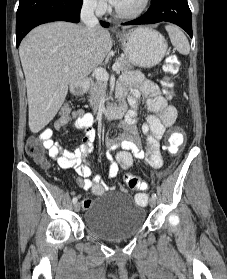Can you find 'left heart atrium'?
<instances>
[{
	"mask_svg": "<svg viewBox=\"0 0 227 279\" xmlns=\"http://www.w3.org/2000/svg\"><path fill=\"white\" fill-rule=\"evenodd\" d=\"M111 4L116 5L119 0H108Z\"/></svg>",
	"mask_w": 227,
	"mask_h": 279,
	"instance_id": "39dd6f15",
	"label": "left heart atrium"
}]
</instances>
